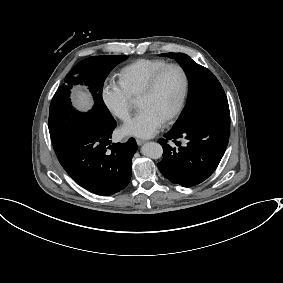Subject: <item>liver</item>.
I'll return each instance as SVG.
<instances>
[{
  "instance_id": "obj_1",
  "label": "liver",
  "mask_w": 283,
  "mask_h": 283,
  "mask_svg": "<svg viewBox=\"0 0 283 283\" xmlns=\"http://www.w3.org/2000/svg\"><path fill=\"white\" fill-rule=\"evenodd\" d=\"M72 98L74 106L81 111H87L93 105L92 96L87 90L74 89Z\"/></svg>"
}]
</instances>
